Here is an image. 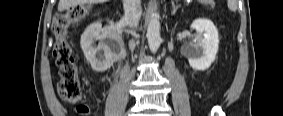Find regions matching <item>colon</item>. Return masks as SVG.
Segmentation results:
<instances>
[{
	"mask_svg": "<svg viewBox=\"0 0 283 116\" xmlns=\"http://www.w3.org/2000/svg\"><path fill=\"white\" fill-rule=\"evenodd\" d=\"M89 11L90 9L86 4H76L65 12L58 14L52 24V32L56 37L53 55L59 68L58 94L64 101L69 103L78 102L82 90L78 68L67 35L70 27L87 17ZM77 111L82 115H86L89 109L86 106H78Z\"/></svg>",
	"mask_w": 283,
	"mask_h": 116,
	"instance_id": "1",
	"label": "colon"
}]
</instances>
